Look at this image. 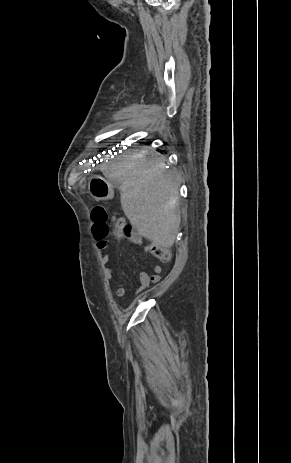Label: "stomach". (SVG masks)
I'll return each instance as SVG.
<instances>
[{
  "mask_svg": "<svg viewBox=\"0 0 291 463\" xmlns=\"http://www.w3.org/2000/svg\"><path fill=\"white\" fill-rule=\"evenodd\" d=\"M89 191L96 200H106L113 196V189L109 181L98 176L90 180Z\"/></svg>",
  "mask_w": 291,
  "mask_h": 463,
  "instance_id": "0dacf381",
  "label": "stomach"
}]
</instances>
